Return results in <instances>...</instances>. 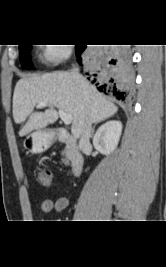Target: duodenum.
Instances as JSON below:
<instances>
[{"label": "duodenum", "instance_id": "duodenum-1", "mask_svg": "<svg viewBox=\"0 0 166 267\" xmlns=\"http://www.w3.org/2000/svg\"><path fill=\"white\" fill-rule=\"evenodd\" d=\"M52 139L56 142H62L67 146L71 173L73 176H78L83 169L84 159L79 151L76 138L66 129L55 128L52 131Z\"/></svg>", "mask_w": 166, "mask_h": 267}]
</instances>
